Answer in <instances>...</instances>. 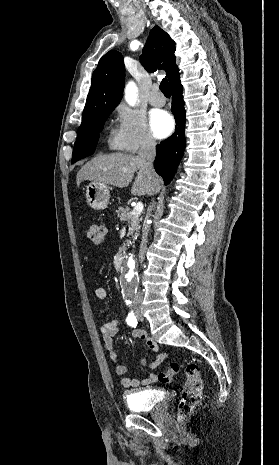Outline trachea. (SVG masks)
Returning a JSON list of instances; mask_svg holds the SVG:
<instances>
[{"label":"trachea","instance_id":"obj_1","mask_svg":"<svg viewBox=\"0 0 279 465\" xmlns=\"http://www.w3.org/2000/svg\"><path fill=\"white\" fill-rule=\"evenodd\" d=\"M160 90L165 96H171V91L167 78H164L160 83Z\"/></svg>","mask_w":279,"mask_h":465}]
</instances>
